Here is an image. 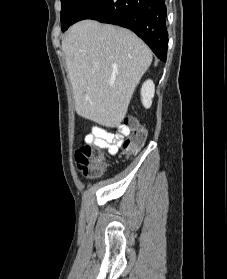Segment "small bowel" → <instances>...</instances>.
<instances>
[{
    "label": "small bowel",
    "mask_w": 227,
    "mask_h": 279,
    "mask_svg": "<svg viewBox=\"0 0 227 279\" xmlns=\"http://www.w3.org/2000/svg\"><path fill=\"white\" fill-rule=\"evenodd\" d=\"M128 134L129 129L124 125L119 126L114 133L108 132L99 125H94L89 138L93 139L95 146L105 148L111 156H115L123 147L124 139Z\"/></svg>",
    "instance_id": "1"
}]
</instances>
